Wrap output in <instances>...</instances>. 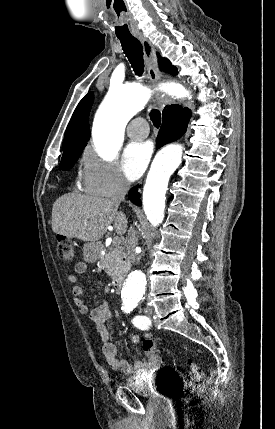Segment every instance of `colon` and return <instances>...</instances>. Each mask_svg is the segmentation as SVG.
<instances>
[{
	"label": "colon",
	"instance_id": "obj_1",
	"mask_svg": "<svg viewBox=\"0 0 275 429\" xmlns=\"http://www.w3.org/2000/svg\"><path fill=\"white\" fill-rule=\"evenodd\" d=\"M57 255L64 262H70L73 260L75 252L72 242L65 237H58L57 239ZM143 350L150 360L161 363V358L158 356L155 350L154 341H146L143 345ZM190 366V377L185 379L180 384V389L187 393L197 392L201 389L202 380V369L201 367L192 361H189Z\"/></svg>",
	"mask_w": 275,
	"mask_h": 429
}]
</instances>
